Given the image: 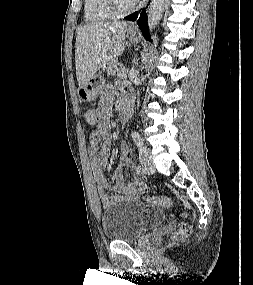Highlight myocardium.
<instances>
[{"instance_id": "1", "label": "myocardium", "mask_w": 253, "mask_h": 285, "mask_svg": "<svg viewBox=\"0 0 253 285\" xmlns=\"http://www.w3.org/2000/svg\"><path fill=\"white\" fill-rule=\"evenodd\" d=\"M106 7L115 15L121 17L133 12L138 7V2H134L129 7H123L119 0H104Z\"/></svg>"}]
</instances>
